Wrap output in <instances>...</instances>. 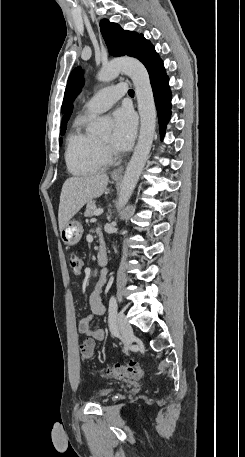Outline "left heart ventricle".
<instances>
[{
  "mask_svg": "<svg viewBox=\"0 0 245 457\" xmlns=\"http://www.w3.org/2000/svg\"><path fill=\"white\" fill-rule=\"evenodd\" d=\"M97 139L100 141L101 144H103L104 146L109 148L111 151L114 150L112 143H111L112 142L111 133L99 136V137H97Z\"/></svg>",
  "mask_w": 245,
  "mask_h": 457,
  "instance_id": "b2bd125f",
  "label": "left heart ventricle"
}]
</instances>
